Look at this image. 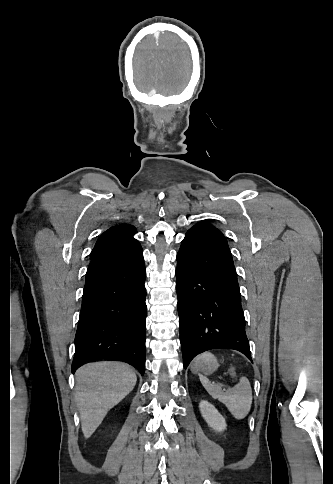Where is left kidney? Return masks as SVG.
<instances>
[{
  "label": "left kidney",
  "mask_w": 333,
  "mask_h": 484,
  "mask_svg": "<svg viewBox=\"0 0 333 484\" xmlns=\"http://www.w3.org/2000/svg\"><path fill=\"white\" fill-rule=\"evenodd\" d=\"M202 417L207 424L215 431L221 432L226 429V421L217 409L208 401L203 400L199 404Z\"/></svg>",
  "instance_id": "1"
}]
</instances>
